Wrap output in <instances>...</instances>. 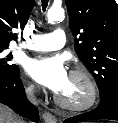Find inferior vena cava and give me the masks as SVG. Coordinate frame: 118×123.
<instances>
[{
  "label": "inferior vena cava",
  "mask_w": 118,
  "mask_h": 123,
  "mask_svg": "<svg viewBox=\"0 0 118 123\" xmlns=\"http://www.w3.org/2000/svg\"><path fill=\"white\" fill-rule=\"evenodd\" d=\"M26 94L28 99L33 103L36 104V98L34 96V88L33 86H30L26 89Z\"/></svg>",
  "instance_id": "obj_1"
}]
</instances>
